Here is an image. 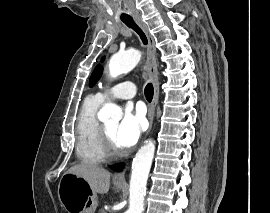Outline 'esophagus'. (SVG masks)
Returning <instances> with one entry per match:
<instances>
[{
    "label": "esophagus",
    "instance_id": "34e87169",
    "mask_svg": "<svg viewBox=\"0 0 270 213\" xmlns=\"http://www.w3.org/2000/svg\"><path fill=\"white\" fill-rule=\"evenodd\" d=\"M134 20L136 24L142 29V31L145 33L147 39H148V46H147V67L150 75V79L154 86V96L152 103L148 110V120H149V128L146 132V135L149 134L152 128L153 124V118L155 115V109L156 105L159 99V79H158V69H157V63H156V48H155V41L152 35L149 32V28L146 23L143 22V20L140 17H134ZM127 169V166L125 169L121 172L116 173L113 176L114 182H125V171Z\"/></svg>",
    "mask_w": 270,
    "mask_h": 213
}]
</instances>
